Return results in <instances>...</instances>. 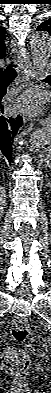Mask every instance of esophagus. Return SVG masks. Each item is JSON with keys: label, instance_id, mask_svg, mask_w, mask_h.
I'll return each instance as SVG.
<instances>
[{"label": "esophagus", "instance_id": "1", "mask_svg": "<svg viewBox=\"0 0 51 393\" xmlns=\"http://www.w3.org/2000/svg\"><path fill=\"white\" fill-rule=\"evenodd\" d=\"M16 51L18 53V58L22 69V78L23 80L30 82L31 81L30 72L33 71V67L28 58L27 52L25 48L20 46L16 48ZM40 124L42 126H49L51 124V120L49 117L41 118Z\"/></svg>", "mask_w": 51, "mask_h": 393}]
</instances>
